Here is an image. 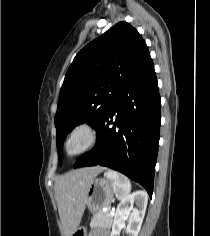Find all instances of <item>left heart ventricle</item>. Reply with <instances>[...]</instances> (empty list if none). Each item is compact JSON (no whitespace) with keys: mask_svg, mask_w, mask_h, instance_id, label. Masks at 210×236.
Instances as JSON below:
<instances>
[{"mask_svg":"<svg viewBox=\"0 0 210 236\" xmlns=\"http://www.w3.org/2000/svg\"><path fill=\"white\" fill-rule=\"evenodd\" d=\"M83 142V137L81 135H78L74 138L72 142V148H77L79 147Z\"/></svg>","mask_w":210,"mask_h":236,"instance_id":"1","label":"left heart ventricle"}]
</instances>
